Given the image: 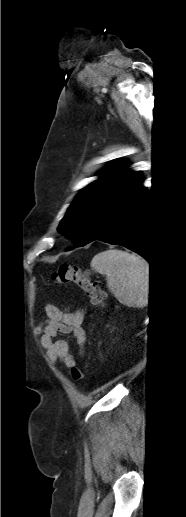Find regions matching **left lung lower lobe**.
<instances>
[{
    "label": "left lung lower lobe",
    "instance_id": "left-lung-lower-lobe-1",
    "mask_svg": "<svg viewBox=\"0 0 186 517\" xmlns=\"http://www.w3.org/2000/svg\"><path fill=\"white\" fill-rule=\"evenodd\" d=\"M142 181L141 178L103 216L88 243L101 240L124 246L153 265V255L148 245V192L141 186Z\"/></svg>",
    "mask_w": 186,
    "mask_h": 517
}]
</instances>
